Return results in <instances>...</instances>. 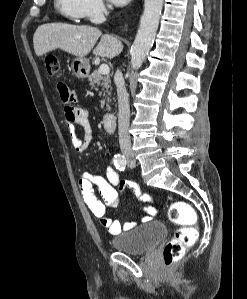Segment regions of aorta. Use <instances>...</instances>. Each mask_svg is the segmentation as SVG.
I'll list each match as a JSON object with an SVG mask.
<instances>
[{
  "label": "aorta",
  "mask_w": 247,
  "mask_h": 299,
  "mask_svg": "<svg viewBox=\"0 0 247 299\" xmlns=\"http://www.w3.org/2000/svg\"><path fill=\"white\" fill-rule=\"evenodd\" d=\"M163 0H145L140 26L131 47V66L139 69L148 55L159 25Z\"/></svg>",
  "instance_id": "1"
}]
</instances>
